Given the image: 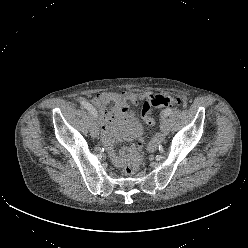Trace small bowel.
<instances>
[{
	"mask_svg": "<svg viewBox=\"0 0 248 248\" xmlns=\"http://www.w3.org/2000/svg\"><path fill=\"white\" fill-rule=\"evenodd\" d=\"M146 96L135 92H102L95 95L91 102L100 113L102 140L108 149L109 156L115 165H121L125 157L118 155L114 149L117 140L125 138H140L141 125L134 113L130 110L129 104H137ZM150 97V96H149ZM148 98V97H147ZM112 104L110 108L108 105ZM155 139L152 143L154 147ZM142 145V143H140Z\"/></svg>",
	"mask_w": 248,
	"mask_h": 248,
	"instance_id": "obj_1",
	"label": "small bowel"
}]
</instances>
